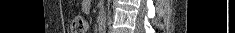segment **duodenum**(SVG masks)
<instances>
[{"label": "duodenum", "mask_w": 235, "mask_h": 33, "mask_svg": "<svg viewBox=\"0 0 235 33\" xmlns=\"http://www.w3.org/2000/svg\"><path fill=\"white\" fill-rule=\"evenodd\" d=\"M99 32L104 33L105 32V23L103 20L99 21Z\"/></svg>", "instance_id": "duodenum-1"}]
</instances>
